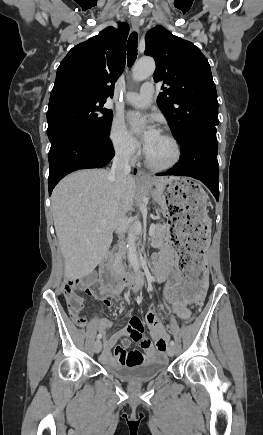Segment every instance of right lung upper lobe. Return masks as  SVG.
<instances>
[{
    "mask_svg": "<svg viewBox=\"0 0 263 435\" xmlns=\"http://www.w3.org/2000/svg\"><path fill=\"white\" fill-rule=\"evenodd\" d=\"M126 23L105 28L73 47L60 63L49 106L69 100H105L125 66Z\"/></svg>",
    "mask_w": 263,
    "mask_h": 435,
    "instance_id": "obj_1",
    "label": "right lung upper lobe"
}]
</instances>
